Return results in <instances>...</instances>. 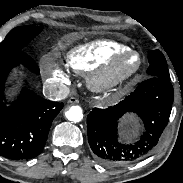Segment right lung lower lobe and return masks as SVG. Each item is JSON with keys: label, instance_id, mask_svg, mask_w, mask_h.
I'll return each mask as SVG.
<instances>
[{"label": "right lung lower lobe", "instance_id": "right-lung-lower-lobe-1", "mask_svg": "<svg viewBox=\"0 0 183 183\" xmlns=\"http://www.w3.org/2000/svg\"><path fill=\"white\" fill-rule=\"evenodd\" d=\"M19 64L35 74L39 68L25 52L0 60V155L8 159L34 158L42 151L53 119L64 104L52 102L24 87L13 102L5 97V82Z\"/></svg>", "mask_w": 183, "mask_h": 183}]
</instances>
